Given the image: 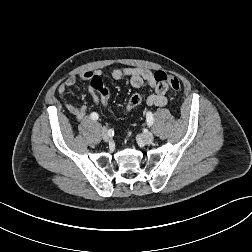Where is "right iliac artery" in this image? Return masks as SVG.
<instances>
[{
	"mask_svg": "<svg viewBox=\"0 0 252 252\" xmlns=\"http://www.w3.org/2000/svg\"><path fill=\"white\" fill-rule=\"evenodd\" d=\"M99 118V116H98V114L96 113V112H93L92 114H91V119L92 120H97Z\"/></svg>",
	"mask_w": 252,
	"mask_h": 252,
	"instance_id": "right-iliac-artery-1",
	"label": "right iliac artery"
}]
</instances>
